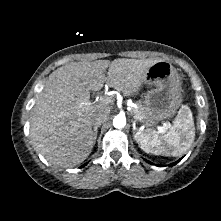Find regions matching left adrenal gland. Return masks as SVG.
<instances>
[{
  "mask_svg": "<svg viewBox=\"0 0 221 221\" xmlns=\"http://www.w3.org/2000/svg\"><path fill=\"white\" fill-rule=\"evenodd\" d=\"M133 134H135V131H134V129H133Z\"/></svg>",
  "mask_w": 221,
  "mask_h": 221,
  "instance_id": "a2214340",
  "label": "left adrenal gland"
}]
</instances>
